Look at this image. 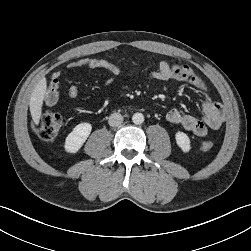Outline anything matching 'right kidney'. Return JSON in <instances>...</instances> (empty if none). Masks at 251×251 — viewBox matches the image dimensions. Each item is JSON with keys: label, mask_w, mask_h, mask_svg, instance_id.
<instances>
[{"label": "right kidney", "mask_w": 251, "mask_h": 251, "mask_svg": "<svg viewBox=\"0 0 251 251\" xmlns=\"http://www.w3.org/2000/svg\"><path fill=\"white\" fill-rule=\"evenodd\" d=\"M92 125L90 123H80L74 127L65 139L64 149L68 153H76L85 143L90 135Z\"/></svg>", "instance_id": "obj_1"}]
</instances>
